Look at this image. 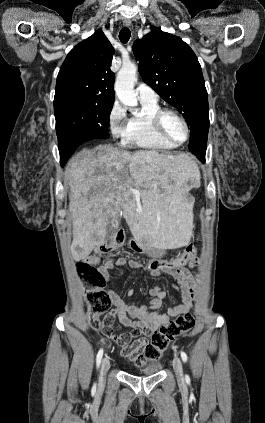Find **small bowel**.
I'll return each instance as SVG.
<instances>
[{"label": "small bowel", "instance_id": "1", "mask_svg": "<svg viewBox=\"0 0 265 423\" xmlns=\"http://www.w3.org/2000/svg\"><path fill=\"white\" fill-rule=\"evenodd\" d=\"M188 264V267L184 266L177 271H150L153 277L166 274L177 282V284L173 283L172 286L179 292L182 301L172 306L165 314H159L157 312L162 305V300L166 296L165 291L159 286H153L149 289L151 299L144 304L128 303L116 291H109L111 303L115 308L114 315L121 325L132 330L131 333L123 334L119 337L114 335L110 337L122 347L123 356L130 358L136 363L144 364L146 360L143 357L142 348L147 343V340L143 337L138 338V336L155 331L160 326L168 323L172 318L185 314L192 308L199 281L198 275L194 271V267L198 264V258L195 256ZM126 265L132 269L143 268L142 262L121 257L116 261H108L99 265L98 270L107 282L111 270ZM128 295L132 296L133 290H130ZM133 339L134 341H132Z\"/></svg>", "mask_w": 265, "mask_h": 423}]
</instances>
